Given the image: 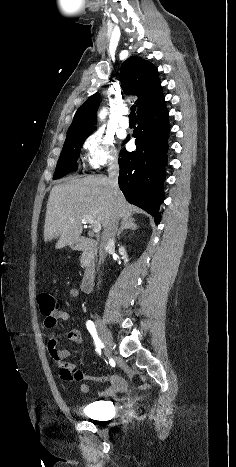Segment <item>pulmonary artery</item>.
Returning a JSON list of instances; mask_svg holds the SVG:
<instances>
[{
	"label": "pulmonary artery",
	"mask_w": 236,
	"mask_h": 467,
	"mask_svg": "<svg viewBox=\"0 0 236 467\" xmlns=\"http://www.w3.org/2000/svg\"><path fill=\"white\" fill-rule=\"evenodd\" d=\"M127 114V111H124L123 112V116L121 117L120 121H119V124L122 128H128L130 123H129V119L128 117L126 116Z\"/></svg>",
	"instance_id": "pulmonary-artery-1"
}]
</instances>
